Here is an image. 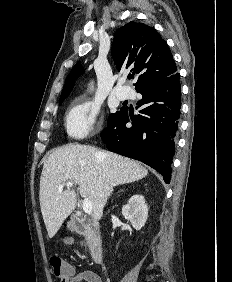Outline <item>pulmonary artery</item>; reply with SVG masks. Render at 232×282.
<instances>
[{"label":"pulmonary artery","instance_id":"pulmonary-artery-1","mask_svg":"<svg viewBox=\"0 0 232 282\" xmlns=\"http://www.w3.org/2000/svg\"><path fill=\"white\" fill-rule=\"evenodd\" d=\"M132 96V92L130 91L129 88L125 87V86H119L116 89V97L119 100H125L128 99Z\"/></svg>","mask_w":232,"mask_h":282}]
</instances>
